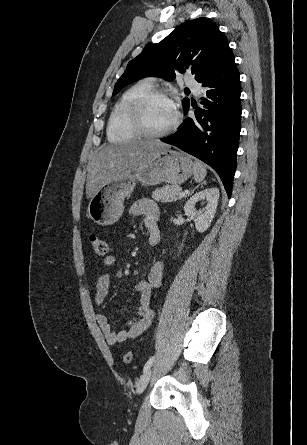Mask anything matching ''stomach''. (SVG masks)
Returning a JSON list of instances; mask_svg holds the SVG:
<instances>
[{
	"mask_svg": "<svg viewBox=\"0 0 307 445\" xmlns=\"http://www.w3.org/2000/svg\"><path fill=\"white\" fill-rule=\"evenodd\" d=\"M191 174L193 162L187 154L176 150H162L147 164H140L132 174L116 176L111 182L103 184L90 198L88 214L97 225L110 227L122 216L124 200L133 192L138 180L145 186L160 182L182 184Z\"/></svg>",
	"mask_w": 307,
	"mask_h": 445,
	"instance_id": "1",
	"label": "stomach"
}]
</instances>
